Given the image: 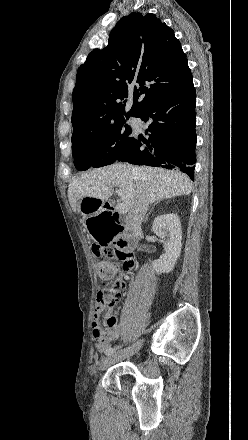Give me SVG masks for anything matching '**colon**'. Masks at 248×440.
Wrapping results in <instances>:
<instances>
[{"mask_svg":"<svg viewBox=\"0 0 248 440\" xmlns=\"http://www.w3.org/2000/svg\"><path fill=\"white\" fill-rule=\"evenodd\" d=\"M93 252L99 259L97 271L100 277L107 280L103 290L97 293L96 305L102 308H110L118 301L124 284L114 278L120 271H130L134 267V261L130 254L123 250L119 244L109 246H94Z\"/></svg>","mask_w":248,"mask_h":440,"instance_id":"5ec220e1","label":"colon"}]
</instances>
